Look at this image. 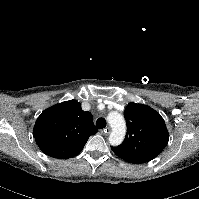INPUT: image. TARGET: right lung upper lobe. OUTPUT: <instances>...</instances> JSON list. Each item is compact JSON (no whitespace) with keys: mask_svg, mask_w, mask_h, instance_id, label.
Returning a JSON list of instances; mask_svg holds the SVG:
<instances>
[{"mask_svg":"<svg viewBox=\"0 0 199 199\" xmlns=\"http://www.w3.org/2000/svg\"><path fill=\"white\" fill-rule=\"evenodd\" d=\"M97 133L92 114L69 100L56 104L37 118L33 136L48 156L68 159L81 152L89 136Z\"/></svg>","mask_w":199,"mask_h":199,"instance_id":"right-lung-upper-lobe-1","label":"right lung upper lobe"}]
</instances>
